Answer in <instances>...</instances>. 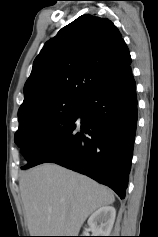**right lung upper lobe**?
<instances>
[{
    "instance_id": "cb5924a9",
    "label": "right lung upper lobe",
    "mask_w": 158,
    "mask_h": 237,
    "mask_svg": "<svg viewBox=\"0 0 158 237\" xmlns=\"http://www.w3.org/2000/svg\"><path fill=\"white\" fill-rule=\"evenodd\" d=\"M130 63L117 27L109 19L82 15L46 42L34 60L18 115L53 99L83 101Z\"/></svg>"
}]
</instances>
